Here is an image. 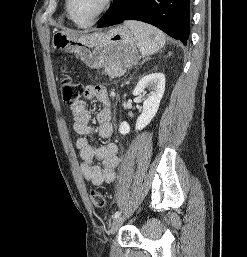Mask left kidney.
<instances>
[{
	"mask_svg": "<svg viewBox=\"0 0 247 257\" xmlns=\"http://www.w3.org/2000/svg\"><path fill=\"white\" fill-rule=\"evenodd\" d=\"M149 89L151 92L144 98L143 111L136 121L135 129L142 130L145 128L156 115L160 101L165 91V76L162 73H152L144 76L136 85L133 90L134 96L145 97L146 91ZM119 131L122 135L130 132V126L127 122H122Z\"/></svg>",
	"mask_w": 247,
	"mask_h": 257,
	"instance_id": "left-kidney-1",
	"label": "left kidney"
}]
</instances>
